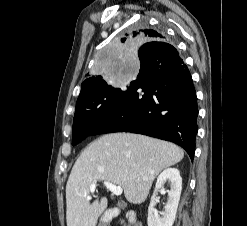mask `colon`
<instances>
[{"mask_svg": "<svg viewBox=\"0 0 247 226\" xmlns=\"http://www.w3.org/2000/svg\"><path fill=\"white\" fill-rule=\"evenodd\" d=\"M135 226H141L140 223H135Z\"/></svg>", "mask_w": 247, "mask_h": 226, "instance_id": "5ec220e1", "label": "colon"}]
</instances>
